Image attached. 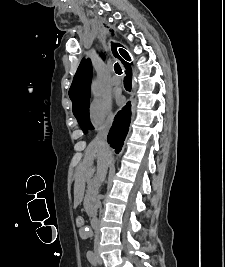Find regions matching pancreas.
Listing matches in <instances>:
<instances>
[{
	"label": "pancreas",
	"mask_w": 225,
	"mask_h": 267,
	"mask_svg": "<svg viewBox=\"0 0 225 267\" xmlns=\"http://www.w3.org/2000/svg\"><path fill=\"white\" fill-rule=\"evenodd\" d=\"M96 191L97 185L90 181L88 184V189L86 191V196L84 198V208L89 216H93L94 214V207L92 205V202L94 201Z\"/></svg>",
	"instance_id": "cf45deb5"
}]
</instances>
